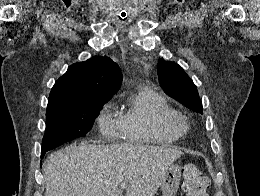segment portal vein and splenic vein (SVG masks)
<instances>
[{"instance_id":"1","label":"portal vein and splenic vein","mask_w":260,"mask_h":196,"mask_svg":"<svg viewBox=\"0 0 260 196\" xmlns=\"http://www.w3.org/2000/svg\"><path fill=\"white\" fill-rule=\"evenodd\" d=\"M125 188H128V184H124V182H122L119 186V190H125Z\"/></svg>"}]
</instances>
